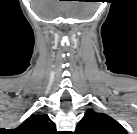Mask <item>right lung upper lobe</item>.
Returning a JSON list of instances; mask_svg holds the SVG:
<instances>
[{"label":"right lung upper lobe","instance_id":"1","mask_svg":"<svg viewBox=\"0 0 137 134\" xmlns=\"http://www.w3.org/2000/svg\"><path fill=\"white\" fill-rule=\"evenodd\" d=\"M19 134H56V125L47 114H33L15 129Z\"/></svg>","mask_w":137,"mask_h":134}]
</instances>
